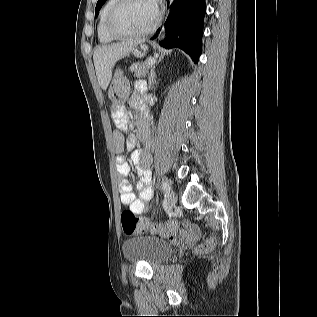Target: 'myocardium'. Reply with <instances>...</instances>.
<instances>
[{"label": "myocardium", "instance_id": "obj_1", "mask_svg": "<svg viewBox=\"0 0 317 317\" xmlns=\"http://www.w3.org/2000/svg\"><path fill=\"white\" fill-rule=\"evenodd\" d=\"M126 1L127 0H115V3L111 7L107 16V20H106V29L109 35L117 39H127V38H136V37L146 36L150 34L152 31H154L161 19V10L159 6L157 5V3L155 2V0H152V2L155 4V17L148 27L134 33L119 32L118 30L115 29L114 19L116 17L117 12Z\"/></svg>", "mask_w": 317, "mask_h": 317}]
</instances>
